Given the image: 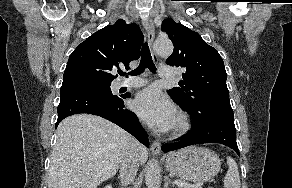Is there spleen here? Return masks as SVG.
<instances>
[{
	"mask_svg": "<svg viewBox=\"0 0 292 188\" xmlns=\"http://www.w3.org/2000/svg\"><path fill=\"white\" fill-rule=\"evenodd\" d=\"M228 171L224 178V188H240L238 166L232 157H227Z\"/></svg>",
	"mask_w": 292,
	"mask_h": 188,
	"instance_id": "spleen-1",
	"label": "spleen"
}]
</instances>
